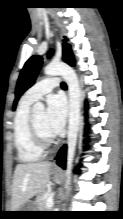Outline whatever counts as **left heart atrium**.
<instances>
[{
  "label": "left heart atrium",
  "mask_w": 123,
  "mask_h": 219,
  "mask_svg": "<svg viewBox=\"0 0 123 219\" xmlns=\"http://www.w3.org/2000/svg\"><path fill=\"white\" fill-rule=\"evenodd\" d=\"M67 106L60 95H52L47 100L46 124L51 134L57 135L65 125Z\"/></svg>",
  "instance_id": "left-heart-atrium-1"
}]
</instances>
